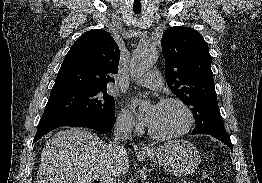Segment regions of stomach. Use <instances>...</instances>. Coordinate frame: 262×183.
<instances>
[{"label":"stomach","mask_w":262,"mask_h":183,"mask_svg":"<svg viewBox=\"0 0 262 183\" xmlns=\"http://www.w3.org/2000/svg\"><path fill=\"white\" fill-rule=\"evenodd\" d=\"M150 159L158 162L165 170L186 176L193 173L200 163L196 147L185 140H172L151 151L144 152Z\"/></svg>","instance_id":"1"}]
</instances>
